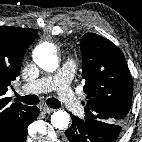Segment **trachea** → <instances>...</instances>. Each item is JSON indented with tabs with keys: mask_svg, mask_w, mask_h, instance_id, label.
<instances>
[{
	"mask_svg": "<svg viewBox=\"0 0 142 142\" xmlns=\"http://www.w3.org/2000/svg\"><path fill=\"white\" fill-rule=\"evenodd\" d=\"M17 100L22 101L25 104L28 105H37L39 103V97L37 95H26V96H20L19 94L15 93ZM46 103L51 108H60L61 103L56 98H48L46 100Z\"/></svg>",
	"mask_w": 142,
	"mask_h": 142,
	"instance_id": "obj_1",
	"label": "trachea"
}]
</instances>
